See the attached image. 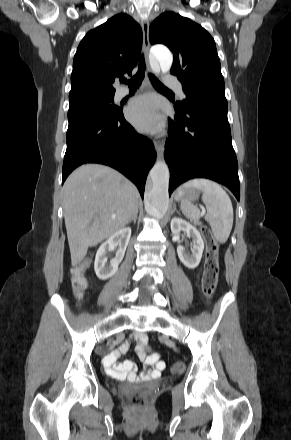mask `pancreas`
<instances>
[{"mask_svg": "<svg viewBox=\"0 0 291 440\" xmlns=\"http://www.w3.org/2000/svg\"><path fill=\"white\" fill-rule=\"evenodd\" d=\"M194 224H195V225H198V226H201V225H202V223L199 222V221H195Z\"/></svg>", "mask_w": 291, "mask_h": 440, "instance_id": "pancreas-1", "label": "pancreas"}]
</instances>
